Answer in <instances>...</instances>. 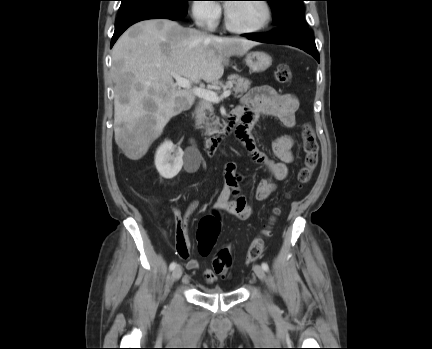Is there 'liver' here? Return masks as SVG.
<instances>
[{"label":"liver","mask_w":432,"mask_h":349,"mask_svg":"<svg viewBox=\"0 0 432 349\" xmlns=\"http://www.w3.org/2000/svg\"><path fill=\"white\" fill-rule=\"evenodd\" d=\"M255 41L217 37L174 21L155 19L125 31L112 49L115 142L131 160L142 158L170 119L189 109L190 88L180 89L172 73L198 84L212 83L234 55Z\"/></svg>","instance_id":"1"}]
</instances>
